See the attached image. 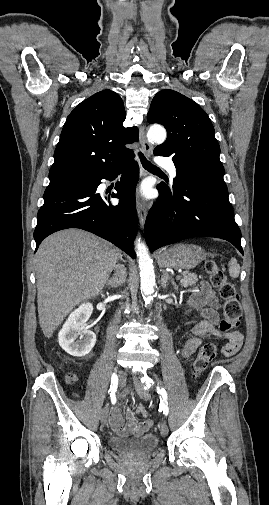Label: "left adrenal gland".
<instances>
[{
  "instance_id": "a2214340",
  "label": "left adrenal gland",
  "mask_w": 269,
  "mask_h": 505,
  "mask_svg": "<svg viewBox=\"0 0 269 505\" xmlns=\"http://www.w3.org/2000/svg\"><path fill=\"white\" fill-rule=\"evenodd\" d=\"M168 281L171 282V284L173 285V287H174L175 290H178V286L175 283L174 278H172L171 276H169V274L165 270H163L162 271V277H161V285H162V287L164 289L167 288Z\"/></svg>"
}]
</instances>
